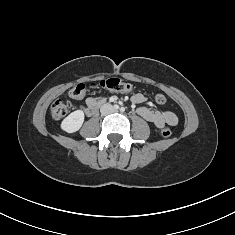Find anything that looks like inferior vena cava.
Here are the masks:
<instances>
[{"label":"inferior vena cava","mask_w":235,"mask_h":235,"mask_svg":"<svg viewBox=\"0 0 235 235\" xmlns=\"http://www.w3.org/2000/svg\"><path fill=\"white\" fill-rule=\"evenodd\" d=\"M114 107L111 104H104L101 108H100V112L102 115H107L110 113H113Z\"/></svg>","instance_id":"602c4592"}]
</instances>
